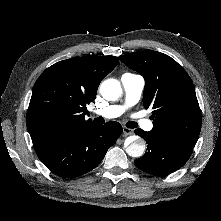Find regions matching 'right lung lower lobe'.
Listing matches in <instances>:
<instances>
[{"label":"right lung lower lobe","mask_w":221,"mask_h":221,"mask_svg":"<svg viewBox=\"0 0 221 221\" xmlns=\"http://www.w3.org/2000/svg\"><path fill=\"white\" fill-rule=\"evenodd\" d=\"M122 133L118 122L96 124L58 134L35 148L43 164L64 178L81 176L94 169Z\"/></svg>","instance_id":"obj_1"}]
</instances>
